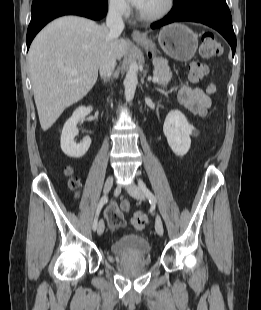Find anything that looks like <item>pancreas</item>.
Segmentation results:
<instances>
[{
  "label": "pancreas",
  "mask_w": 261,
  "mask_h": 310,
  "mask_svg": "<svg viewBox=\"0 0 261 310\" xmlns=\"http://www.w3.org/2000/svg\"><path fill=\"white\" fill-rule=\"evenodd\" d=\"M154 66L155 69L153 71V75L159 79L158 84L167 85L172 77V73L167 62L157 59L154 61Z\"/></svg>",
  "instance_id": "1"
}]
</instances>
